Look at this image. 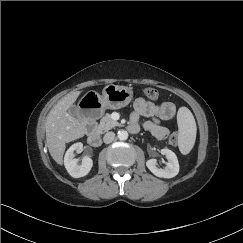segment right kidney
Wrapping results in <instances>:
<instances>
[{"label":"right kidney","instance_id":"1","mask_svg":"<svg viewBox=\"0 0 243 243\" xmlns=\"http://www.w3.org/2000/svg\"><path fill=\"white\" fill-rule=\"evenodd\" d=\"M83 147V144L81 142L73 144L66 152L64 157V165L68 173L73 178H80L86 176L92 166L93 161L91 158L85 156L82 159L81 164L78 163V160L74 158V151H79Z\"/></svg>","mask_w":243,"mask_h":243}]
</instances>
